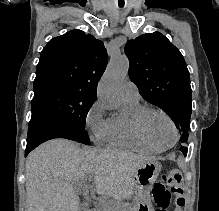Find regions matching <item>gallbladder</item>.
<instances>
[{
  "label": "gallbladder",
  "mask_w": 219,
  "mask_h": 211,
  "mask_svg": "<svg viewBox=\"0 0 219 211\" xmlns=\"http://www.w3.org/2000/svg\"><path fill=\"white\" fill-rule=\"evenodd\" d=\"M79 211H87L86 207H84V209H82V207H80Z\"/></svg>",
  "instance_id": "bac80fb5"
}]
</instances>
